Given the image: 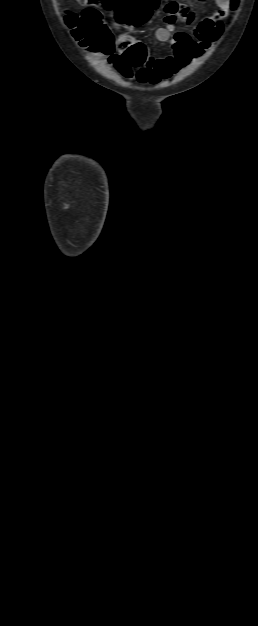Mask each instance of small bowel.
Returning <instances> with one entry per match:
<instances>
[{
  "label": "small bowel",
  "mask_w": 258,
  "mask_h": 626,
  "mask_svg": "<svg viewBox=\"0 0 258 626\" xmlns=\"http://www.w3.org/2000/svg\"><path fill=\"white\" fill-rule=\"evenodd\" d=\"M217 11L210 17L195 23V13L185 4L170 1L164 6V26L156 30L155 36L160 42L171 41L173 53L165 58H146L137 72L127 59L129 48L136 45L127 41L120 42L118 53H109V62L125 79H137L140 83L157 84L169 79L182 68L199 58L222 35L223 20L230 9V0H214ZM118 20V14H114ZM193 28L192 33L176 31L177 21ZM174 33V35H173Z\"/></svg>",
  "instance_id": "c3829d8e"
}]
</instances>
